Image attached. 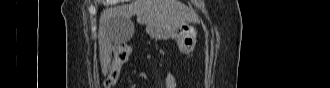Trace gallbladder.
<instances>
[{"label":"gallbladder","mask_w":330,"mask_h":88,"mask_svg":"<svg viewBox=\"0 0 330 88\" xmlns=\"http://www.w3.org/2000/svg\"><path fill=\"white\" fill-rule=\"evenodd\" d=\"M115 34L117 35V43H125L129 41L134 34V24L132 21H121L114 24Z\"/></svg>","instance_id":"1"}]
</instances>
